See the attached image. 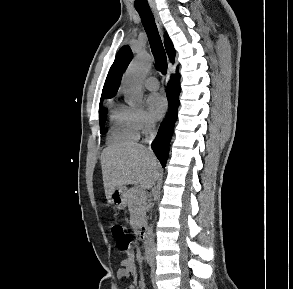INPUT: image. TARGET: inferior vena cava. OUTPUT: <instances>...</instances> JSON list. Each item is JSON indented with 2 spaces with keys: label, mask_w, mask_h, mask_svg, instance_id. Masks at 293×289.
<instances>
[{
  "label": "inferior vena cava",
  "mask_w": 293,
  "mask_h": 289,
  "mask_svg": "<svg viewBox=\"0 0 293 289\" xmlns=\"http://www.w3.org/2000/svg\"><path fill=\"white\" fill-rule=\"evenodd\" d=\"M155 135H156L155 125L152 124V125H151V128H150V130H149V136H148V138H147V142L151 143V142L154 140Z\"/></svg>",
  "instance_id": "inferior-vena-cava-1"
}]
</instances>
